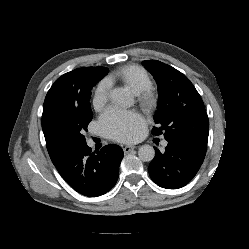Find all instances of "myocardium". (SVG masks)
I'll return each instance as SVG.
<instances>
[{
    "instance_id": "f54148a6",
    "label": "myocardium",
    "mask_w": 249,
    "mask_h": 249,
    "mask_svg": "<svg viewBox=\"0 0 249 249\" xmlns=\"http://www.w3.org/2000/svg\"><path fill=\"white\" fill-rule=\"evenodd\" d=\"M158 103V94L152 88H148L138 94V104L145 113H151L154 111L158 106Z\"/></svg>"
}]
</instances>
